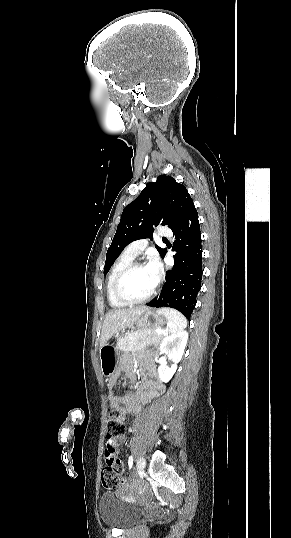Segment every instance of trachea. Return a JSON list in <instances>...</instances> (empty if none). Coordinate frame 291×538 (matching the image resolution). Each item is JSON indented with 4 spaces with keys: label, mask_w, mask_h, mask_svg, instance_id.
Segmentation results:
<instances>
[{
    "label": "trachea",
    "mask_w": 291,
    "mask_h": 538,
    "mask_svg": "<svg viewBox=\"0 0 291 538\" xmlns=\"http://www.w3.org/2000/svg\"><path fill=\"white\" fill-rule=\"evenodd\" d=\"M163 241H167V239H166V238H163Z\"/></svg>",
    "instance_id": "trachea-1"
}]
</instances>
